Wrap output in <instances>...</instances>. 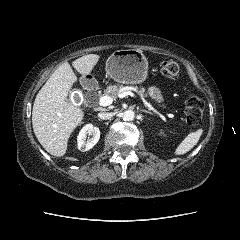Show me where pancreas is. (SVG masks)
<instances>
[{
	"label": "pancreas",
	"instance_id": "1",
	"mask_svg": "<svg viewBox=\"0 0 240 240\" xmlns=\"http://www.w3.org/2000/svg\"><path fill=\"white\" fill-rule=\"evenodd\" d=\"M123 89H124V87H123L122 85H118V84H116V85H109V86L107 87V89L104 91V94H105L106 96H110L112 99H116L117 96H118V94H119L120 92H122ZM137 89H138V88H137ZM139 92H140L142 95H145V90H144V88H141V89L139 90ZM98 96H101V94H99Z\"/></svg>",
	"mask_w": 240,
	"mask_h": 240
}]
</instances>
